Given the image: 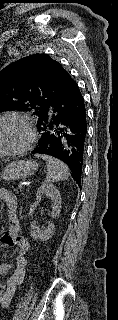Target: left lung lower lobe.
<instances>
[{"label": "left lung lower lobe", "instance_id": "obj_1", "mask_svg": "<svg viewBox=\"0 0 118 320\" xmlns=\"http://www.w3.org/2000/svg\"><path fill=\"white\" fill-rule=\"evenodd\" d=\"M53 112L38 120L42 136L33 153L63 161L72 178L80 183L87 134L86 110L78 85L71 80L64 93L52 103Z\"/></svg>", "mask_w": 118, "mask_h": 320}]
</instances>
